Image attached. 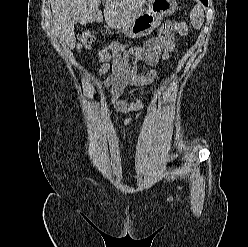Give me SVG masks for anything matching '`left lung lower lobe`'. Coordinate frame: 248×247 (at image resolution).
<instances>
[{"instance_id": "obj_1", "label": "left lung lower lobe", "mask_w": 248, "mask_h": 247, "mask_svg": "<svg viewBox=\"0 0 248 247\" xmlns=\"http://www.w3.org/2000/svg\"><path fill=\"white\" fill-rule=\"evenodd\" d=\"M205 6H208V0H200Z\"/></svg>"}]
</instances>
